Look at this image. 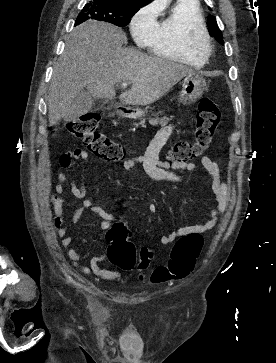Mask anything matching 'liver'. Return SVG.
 I'll return each instance as SVG.
<instances>
[{
    "instance_id": "obj_1",
    "label": "liver",
    "mask_w": 276,
    "mask_h": 363,
    "mask_svg": "<svg viewBox=\"0 0 276 363\" xmlns=\"http://www.w3.org/2000/svg\"><path fill=\"white\" fill-rule=\"evenodd\" d=\"M122 29L105 22L87 21L73 29L54 66L48 95L49 126L66 118L75 97L86 89L89 96L111 100L114 85L132 88L119 96L125 105H149L163 97L182 78L195 74L191 68L122 47Z\"/></svg>"
}]
</instances>
